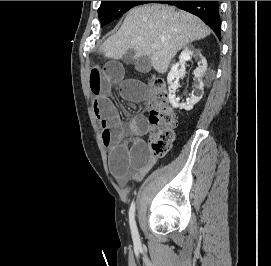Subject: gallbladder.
I'll return each instance as SVG.
<instances>
[{
  "mask_svg": "<svg viewBox=\"0 0 271 266\" xmlns=\"http://www.w3.org/2000/svg\"><path fill=\"white\" fill-rule=\"evenodd\" d=\"M123 62L126 64H135L137 71L141 73H148L151 70V61L148 56H143L138 59L135 58V52L133 50L127 51L123 58Z\"/></svg>",
  "mask_w": 271,
  "mask_h": 266,
  "instance_id": "bac80fb5",
  "label": "gallbladder"
}]
</instances>
